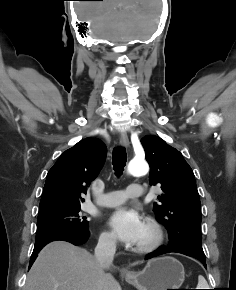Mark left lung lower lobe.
<instances>
[{
  "instance_id": "1",
  "label": "left lung lower lobe",
  "mask_w": 236,
  "mask_h": 290,
  "mask_svg": "<svg viewBox=\"0 0 236 290\" xmlns=\"http://www.w3.org/2000/svg\"><path fill=\"white\" fill-rule=\"evenodd\" d=\"M170 252L181 253V254H184V255H187V256L195 257L196 259L200 260L203 263L205 268H207L206 267L205 254H201V253L197 252L195 249L188 248V247H185V246H176V247H170V246L164 247V246H161L158 250L148 254L146 256V259H150L152 257L158 256V255H162V254H165V253H170Z\"/></svg>"
}]
</instances>
